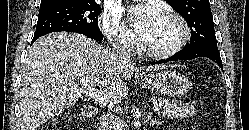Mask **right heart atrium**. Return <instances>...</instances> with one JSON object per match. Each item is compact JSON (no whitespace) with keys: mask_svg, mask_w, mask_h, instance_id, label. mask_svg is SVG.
Wrapping results in <instances>:
<instances>
[{"mask_svg":"<svg viewBox=\"0 0 249 130\" xmlns=\"http://www.w3.org/2000/svg\"><path fill=\"white\" fill-rule=\"evenodd\" d=\"M99 27L115 47L125 51L134 50L136 46L135 35L117 14L111 11H104L99 17Z\"/></svg>","mask_w":249,"mask_h":130,"instance_id":"1","label":"right heart atrium"}]
</instances>
